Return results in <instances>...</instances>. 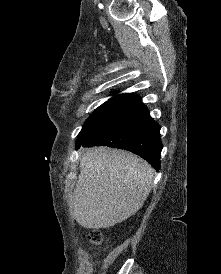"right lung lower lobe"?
Instances as JSON below:
<instances>
[{
	"mask_svg": "<svg viewBox=\"0 0 221 274\" xmlns=\"http://www.w3.org/2000/svg\"><path fill=\"white\" fill-rule=\"evenodd\" d=\"M81 145L125 149L147 160L157 171L160 168V126L150 117L141 99L132 102L106 128Z\"/></svg>",
	"mask_w": 221,
	"mask_h": 274,
	"instance_id": "obj_1",
	"label": "right lung lower lobe"
}]
</instances>
